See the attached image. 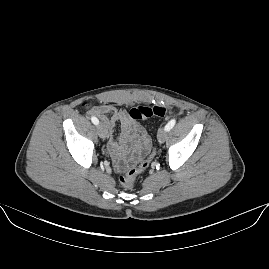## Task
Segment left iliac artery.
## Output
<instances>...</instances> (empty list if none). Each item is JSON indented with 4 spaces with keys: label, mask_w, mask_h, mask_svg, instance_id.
Masks as SVG:
<instances>
[{
    "label": "left iliac artery",
    "mask_w": 269,
    "mask_h": 269,
    "mask_svg": "<svg viewBox=\"0 0 269 269\" xmlns=\"http://www.w3.org/2000/svg\"><path fill=\"white\" fill-rule=\"evenodd\" d=\"M175 123H176V120H175V119H172V120H171L170 122H168V124L165 126V130H166V131L171 130V129L174 127Z\"/></svg>",
    "instance_id": "obj_1"
}]
</instances>
